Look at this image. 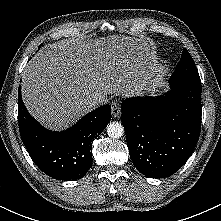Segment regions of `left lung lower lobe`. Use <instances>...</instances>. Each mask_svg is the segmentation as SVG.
<instances>
[{"label":"left lung lower lobe","instance_id":"obj_1","mask_svg":"<svg viewBox=\"0 0 221 221\" xmlns=\"http://www.w3.org/2000/svg\"><path fill=\"white\" fill-rule=\"evenodd\" d=\"M160 97H133L121 104L130 158L145 176L164 178L192 154L201 128V81H170Z\"/></svg>","mask_w":221,"mask_h":221}]
</instances>
